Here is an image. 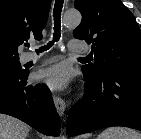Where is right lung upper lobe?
Returning a JSON list of instances; mask_svg holds the SVG:
<instances>
[{
    "label": "right lung upper lobe",
    "instance_id": "obj_1",
    "mask_svg": "<svg viewBox=\"0 0 141 139\" xmlns=\"http://www.w3.org/2000/svg\"><path fill=\"white\" fill-rule=\"evenodd\" d=\"M51 0H0V56L19 57L18 46L41 40Z\"/></svg>",
    "mask_w": 141,
    "mask_h": 139
}]
</instances>
